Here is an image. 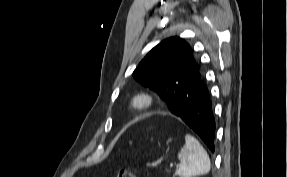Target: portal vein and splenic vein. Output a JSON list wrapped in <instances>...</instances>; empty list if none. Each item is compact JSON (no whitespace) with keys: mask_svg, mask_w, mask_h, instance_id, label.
Returning <instances> with one entry per match:
<instances>
[{"mask_svg":"<svg viewBox=\"0 0 287 177\" xmlns=\"http://www.w3.org/2000/svg\"><path fill=\"white\" fill-rule=\"evenodd\" d=\"M174 167V165L173 164H170V168H173Z\"/></svg>","mask_w":287,"mask_h":177,"instance_id":"1","label":"portal vein and splenic vein"}]
</instances>
